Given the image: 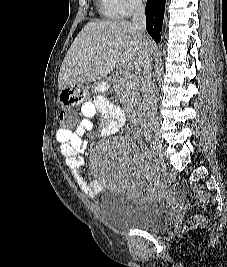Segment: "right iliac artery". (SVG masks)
Instances as JSON below:
<instances>
[{
  "instance_id": "right-iliac-artery-1",
  "label": "right iliac artery",
  "mask_w": 227,
  "mask_h": 267,
  "mask_svg": "<svg viewBox=\"0 0 227 267\" xmlns=\"http://www.w3.org/2000/svg\"><path fill=\"white\" fill-rule=\"evenodd\" d=\"M155 152L154 151H149V156L151 157V158H155Z\"/></svg>"
}]
</instances>
